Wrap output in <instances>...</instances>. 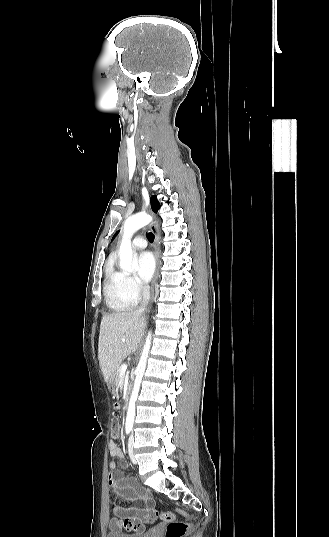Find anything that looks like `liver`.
<instances>
[{"label": "liver", "instance_id": "1", "mask_svg": "<svg viewBox=\"0 0 329 537\" xmlns=\"http://www.w3.org/2000/svg\"><path fill=\"white\" fill-rule=\"evenodd\" d=\"M143 333V319L137 311L106 315L100 325L98 358L108 383L122 360L135 353Z\"/></svg>", "mask_w": 329, "mask_h": 537}]
</instances>
